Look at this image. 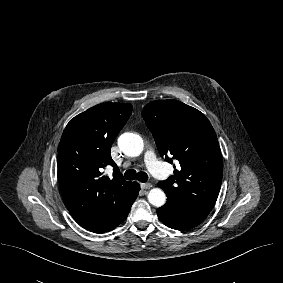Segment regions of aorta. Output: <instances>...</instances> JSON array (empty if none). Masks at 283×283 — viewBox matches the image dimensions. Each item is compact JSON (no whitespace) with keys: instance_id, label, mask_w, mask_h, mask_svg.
I'll use <instances>...</instances> for the list:
<instances>
[{"instance_id":"1","label":"aorta","mask_w":283,"mask_h":283,"mask_svg":"<svg viewBox=\"0 0 283 283\" xmlns=\"http://www.w3.org/2000/svg\"><path fill=\"white\" fill-rule=\"evenodd\" d=\"M118 146L120 150L127 156H139L144 148L142 138L134 133H123L118 138ZM148 201L155 207H161L166 202V195L160 188H153L148 193Z\"/></svg>"}]
</instances>
